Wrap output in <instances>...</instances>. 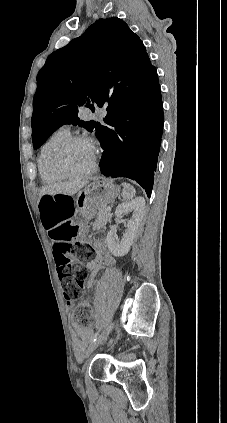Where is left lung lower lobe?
I'll use <instances>...</instances> for the list:
<instances>
[{"label":"left lung lower lobe","mask_w":227,"mask_h":423,"mask_svg":"<svg viewBox=\"0 0 227 423\" xmlns=\"http://www.w3.org/2000/svg\"><path fill=\"white\" fill-rule=\"evenodd\" d=\"M126 110L108 111L100 126L105 176L135 180L151 196L163 133V103L156 70Z\"/></svg>","instance_id":"0a47b994"}]
</instances>
